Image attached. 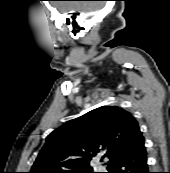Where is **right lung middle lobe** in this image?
I'll return each instance as SVG.
<instances>
[{
  "instance_id": "1",
  "label": "right lung middle lobe",
  "mask_w": 170,
  "mask_h": 173,
  "mask_svg": "<svg viewBox=\"0 0 170 173\" xmlns=\"http://www.w3.org/2000/svg\"><path fill=\"white\" fill-rule=\"evenodd\" d=\"M69 173H94V172L92 168H89L83 170L70 171Z\"/></svg>"
}]
</instances>
